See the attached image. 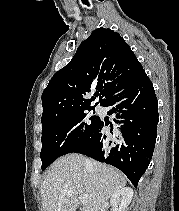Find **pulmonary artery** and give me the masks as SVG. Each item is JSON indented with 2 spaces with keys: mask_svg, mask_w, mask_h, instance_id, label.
<instances>
[{
  "mask_svg": "<svg viewBox=\"0 0 179 211\" xmlns=\"http://www.w3.org/2000/svg\"><path fill=\"white\" fill-rule=\"evenodd\" d=\"M101 110H102V108L98 106V107H97V111L100 112Z\"/></svg>",
  "mask_w": 179,
  "mask_h": 211,
  "instance_id": "1",
  "label": "pulmonary artery"
}]
</instances>
